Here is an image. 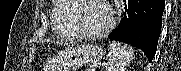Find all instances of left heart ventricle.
Masks as SVG:
<instances>
[{
	"label": "left heart ventricle",
	"mask_w": 181,
	"mask_h": 71,
	"mask_svg": "<svg viewBox=\"0 0 181 71\" xmlns=\"http://www.w3.org/2000/svg\"><path fill=\"white\" fill-rule=\"evenodd\" d=\"M81 10L78 22L82 29L98 32L104 29L110 21V11L102 0H78Z\"/></svg>",
	"instance_id": "1"
}]
</instances>
